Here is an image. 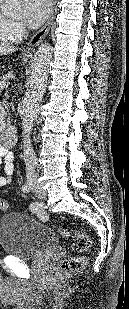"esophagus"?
<instances>
[{
    "mask_svg": "<svg viewBox=\"0 0 129 309\" xmlns=\"http://www.w3.org/2000/svg\"><path fill=\"white\" fill-rule=\"evenodd\" d=\"M55 12H56V0L53 1L52 4V10L49 16L48 21L45 23V25L29 40V42L27 43L26 47L23 50V54L27 55V56H31L36 47L42 42V40L46 37V35L48 34L54 16H55Z\"/></svg>",
    "mask_w": 129,
    "mask_h": 309,
    "instance_id": "1",
    "label": "esophagus"
}]
</instances>
